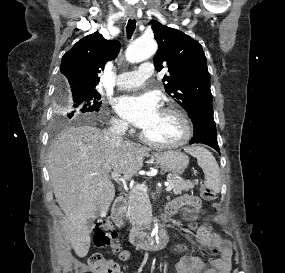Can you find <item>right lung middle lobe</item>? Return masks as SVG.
Listing matches in <instances>:
<instances>
[{"mask_svg": "<svg viewBox=\"0 0 285 273\" xmlns=\"http://www.w3.org/2000/svg\"><path fill=\"white\" fill-rule=\"evenodd\" d=\"M101 96L96 89L69 91L61 80L57 93L58 115L56 122L64 119H75L82 113L99 110Z\"/></svg>", "mask_w": 285, "mask_h": 273, "instance_id": "dd1d6c3e", "label": "right lung middle lobe"}]
</instances>
